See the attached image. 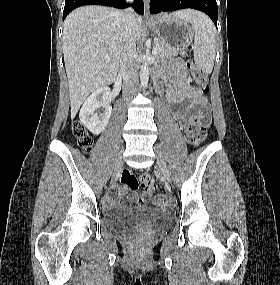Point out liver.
I'll return each mask as SVG.
<instances>
[{"label": "liver", "mask_w": 280, "mask_h": 285, "mask_svg": "<svg viewBox=\"0 0 280 285\" xmlns=\"http://www.w3.org/2000/svg\"><path fill=\"white\" fill-rule=\"evenodd\" d=\"M123 31V12L107 7H80L65 19L63 54L72 119L90 93L115 81L123 49ZM142 32V18L135 15L137 41Z\"/></svg>", "instance_id": "obj_1"}]
</instances>
